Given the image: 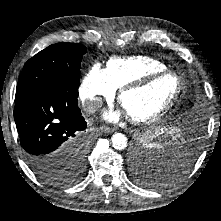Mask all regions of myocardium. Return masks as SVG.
Instances as JSON below:
<instances>
[{"label": "myocardium", "mask_w": 221, "mask_h": 221, "mask_svg": "<svg viewBox=\"0 0 221 221\" xmlns=\"http://www.w3.org/2000/svg\"><path fill=\"white\" fill-rule=\"evenodd\" d=\"M163 76H173L177 82L176 91H175L173 97L161 110H159L154 115L144 117V118H137V117L128 116V119L132 123L137 124V125L152 124V123H156V122L160 121L162 118H164L173 109V107L175 106V104L177 103V101L181 95V92L183 89L182 79L180 78V76L176 72L166 69L163 71H156V72L149 73V74H147L137 80L126 83L125 85H123L119 89L118 102H119V104H121L122 98L126 93L133 91V90L141 89V88L149 85L152 81H154L160 77H163Z\"/></svg>", "instance_id": "f54148a6"}]
</instances>
